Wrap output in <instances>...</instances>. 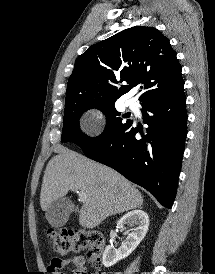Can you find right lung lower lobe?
I'll return each instance as SVG.
<instances>
[{
	"mask_svg": "<svg viewBox=\"0 0 215 274\" xmlns=\"http://www.w3.org/2000/svg\"><path fill=\"white\" fill-rule=\"evenodd\" d=\"M146 132L131 121L100 145L83 150L148 190L158 202L171 208L187 135L186 97H156L143 104ZM140 133V134H138Z\"/></svg>",
	"mask_w": 215,
	"mask_h": 274,
	"instance_id": "1",
	"label": "right lung lower lobe"
}]
</instances>
